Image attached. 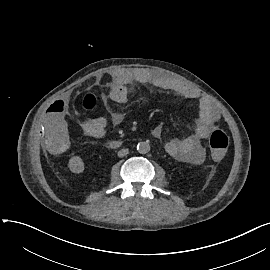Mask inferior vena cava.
<instances>
[{"mask_svg":"<svg viewBox=\"0 0 270 270\" xmlns=\"http://www.w3.org/2000/svg\"><path fill=\"white\" fill-rule=\"evenodd\" d=\"M128 154V149H121L119 152H118V157H124Z\"/></svg>","mask_w":270,"mask_h":270,"instance_id":"602c4592","label":"inferior vena cava"}]
</instances>
